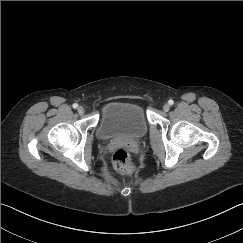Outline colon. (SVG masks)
<instances>
[{"label": "colon", "mask_w": 243, "mask_h": 243, "mask_svg": "<svg viewBox=\"0 0 243 243\" xmlns=\"http://www.w3.org/2000/svg\"><path fill=\"white\" fill-rule=\"evenodd\" d=\"M113 164L115 168L124 174H131L134 171V166L131 157L126 149H118L113 155Z\"/></svg>", "instance_id": "colon-1"}]
</instances>
